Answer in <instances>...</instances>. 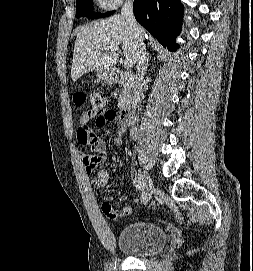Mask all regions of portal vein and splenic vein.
I'll return each mask as SVG.
<instances>
[{"mask_svg":"<svg viewBox=\"0 0 253 271\" xmlns=\"http://www.w3.org/2000/svg\"><path fill=\"white\" fill-rule=\"evenodd\" d=\"M111 51H118V48L112 49ZM133 65V61L131 59L124 60L125 67H131Z\"/></svg>","mask_w":253,"mask_h":271,"instance_id":"1","label":"portal vein and splenic vein"}]
</instances>
